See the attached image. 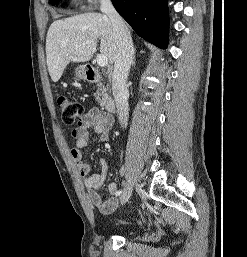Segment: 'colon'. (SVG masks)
I'll return each mask as SVG.
<instances>
[{
    "mask_svg": "<svg viewBox=\"0 0 247 257\" xmlns=\"http://www.w3.org/2000/svg\"><path fill=\"white\" fill-rule=\"evenodd\" d=\"M57 103L61 111L62 120L67 125L75 124L85 115L83 105L67 96H60L57 99Z\"/></svg>",
    "mask_w": 247,
    "mask_h": 257,
    "instance_id": "colon-1",
    "label": "colon"
}]
</instances>
